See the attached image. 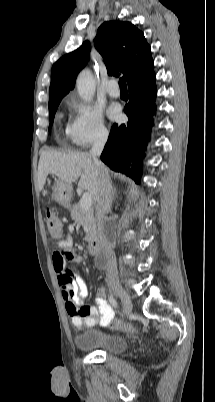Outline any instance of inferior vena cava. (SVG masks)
Segmentation results:
<instances>
[{
	"label": "inferior vena cava",
	"instance_id": "1",
	"mask_svg": "<svg viewBox=\"0 0 215 402\" xmlns=\"http://www.w3.org/2000/svg\"><path fill=\"white\" fill-rule=\"evenodd\" d=\"M108 134L104 133L98 137L90 150V155L96 165L98 173V194H97V207L96 218L98 222L99 236L102 243V248L105 252L106 258V276L107 280L111 283L118 282V271L116 257L114 255L112 245L108 240L107 234L103 229L105 215L110 211L112 204V186L107 169L98 160L104 145L107 141Z\"/></svg>",
	"mask_w": 215,
	"mask_h": 402
}]
</instances>
